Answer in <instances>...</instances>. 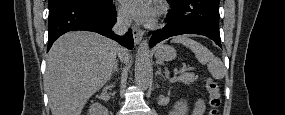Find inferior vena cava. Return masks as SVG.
<instances>
[{
	"label": "inferior vena cava",
	"mask_w": 285,
	"mask_h": 115,
	"mask_svg": "<svg viewBox=\"0 0 285 115\" xmlns=\"http://www.w3.org/2000/svg\"><path fill=\"white\" fill-rule=\"evenodd\" d=\"M131 24L130 17L125 14H119L117 17V22L113 26V32L118 35H123L126 33L128 27Z\"/></svg>",
	"instance_id": "obj_1"
}]
</instances>
